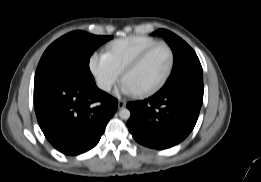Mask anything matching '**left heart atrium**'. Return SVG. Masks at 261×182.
Here are the masks:
<instances>
[{
  "label": "left heart atrium",
  "instance_id": "1",
  "mask_svg": "<svg viewBox=\"0 0 261 182\" xmlns=\"http://www.w3.org/2000/svg\"><path fill=\"white\" fill-rule=\"evenodd\" d=\"M121 91L125 94H134L136 93L134 89L125 81L122 83Z\"/></svg>",
  "mask_w": 261,
  "mask_h": 182
}]
</instances>
